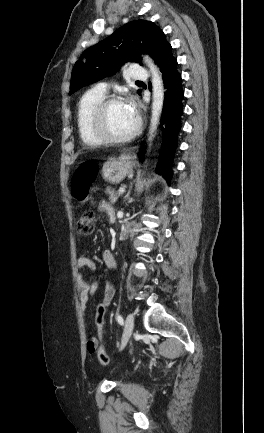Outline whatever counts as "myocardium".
<instances>
[{
    "mask_svg": "<svg viewBox=\"0 0 264 433\" xmlns=\"http://www.w3.org/2000/svg\"><path fill=\"white\" fill-rule=\"evenodd\" d=\"M125 103L121 97H110L101 101L93 110L90 117V129L102 143H125L133 139L141 129V119L137 117L134 128L123 136H114L106 128V112L114 104Z\"/></svg>",
    "mask_w": 264,
    "mask_h": 433,
    "instance_id": "obj_1",
    "label": "myocardium"
}]
</instances>
